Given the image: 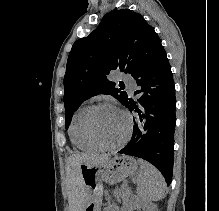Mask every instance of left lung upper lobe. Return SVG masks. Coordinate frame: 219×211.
<instances>
[{"label": "left lung upper lobe", "instance_id": "5c2ea615", "mask_svg": "<svg viewBox=\"0 0 219 211\" xmlns=\"http://www.w3.org/2000/svg\"><path fill=\"white\" fill-rule=\"evenodd\" d=\"M164 48L154 28L129 9L108 13L87 37L77 40L69 53L64 77L66 129L74 111L87 99L109 94L122 104L128 97L108 79L113 70L133 77L154 61Z\"/></svg>", "mask_w": 219, "mask_h": 211}]
</instances>
